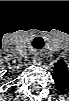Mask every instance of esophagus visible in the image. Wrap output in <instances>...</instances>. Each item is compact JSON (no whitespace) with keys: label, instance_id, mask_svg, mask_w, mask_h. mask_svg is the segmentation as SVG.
I'll use <instances>...</instances> for the list:
<instances>
[{"label":"esophagus","instance_id":"1","mask_svg":"<svg viewBox=\"0 0 69 101\" xmlns=\"http://www.w3.org/2000/svg\"><path fill=\"white\" fill-rule=\"evenodd\" d=\"M33 62L35 64H41L42 63V58L39 52L35 53L34 57H33Z\"/></svg>","mask_w":69,"mask_h":101}]
</instances>
